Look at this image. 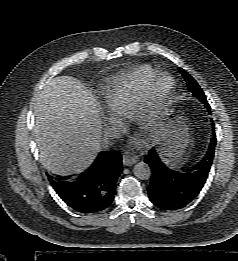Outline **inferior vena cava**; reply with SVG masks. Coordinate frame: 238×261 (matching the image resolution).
<instances>
[{
	"label": "inferior vena cava",
	"instance_id": "inferior-vena-cava-1",
	"mask_svg": "<svg viewBox=\"0 0 238 261\" xmlns=\"http://www.w3.org/2000/svg\"><path fill=\"white\" fill-rule=\"evenodd\" d=\"M104 136V146H107L109 140L120 138L121 134L115 127H107Z\"/></svg>",
	"mask_w": 238,
	"mask_h": 261
}]
</instances>
